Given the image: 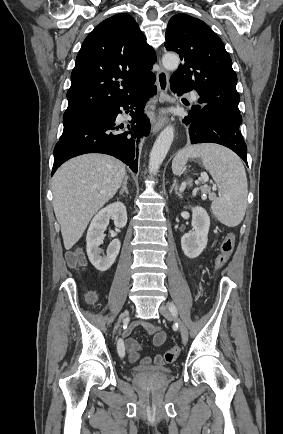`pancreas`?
Masks as SVG:
<instances>
[{"label":"pancreas","mask_w":283,"mask_h":434,"mask_svg":"<svg viewBox=\"0 0 283 434\" xmlns=\"http://www.w3.org/2000/svg\"><path fill=\"white\" fill-rule=\"evenodd\" d=\"M200 189H201L202 193L209 194L210 196L212 195L209 187L204 186V187H201ZM206 198H207L206 196H204V195L202 196L203 200H205Z\"/></svg>","instance_id":"obj_1"}]
</instances>
